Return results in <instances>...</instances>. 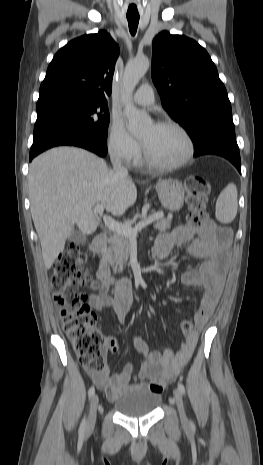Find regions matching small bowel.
Wrapping results in <instances>:
<instances>
[{"mask_svg": "<svg viewBox=\"0 0 263 465\" xmlns=\"http://www.w3.org/2000/svg\"><path fill=\"white\" fill-rule=\"evenodd\" d=\"M229 243L228 231L216 227L200 229L191 224L179 225L157 238L153 254L159 259L166 258L175 246L184 247L189 255L203 259L197 268L188 270L182 276L185 286L204 290L201 302L195 307L197 329L186 334L185 341L176 352L171 349L164 352L149 351L146 342L137 337L134 341L140 361L137 375H134L131 364L125 365L119 373L110 374L108 369L91 372L93 381L106 391L110 401L118 399L123 393L138 385L161 393L166 384L188 363L197 345L200 329L210 319L221 296ZM89 301L97 310L112 309L117 319L125 322L132 304L130 279L124 277L119 280L114 297L98 294L92 295ZM107 346L114 353L119 351L118 341L113 337L107 338Z\"/></svg>", "mask_w": 263, "mask_h": 465, "instance_id": "1", "label": "small bowel"}]
</instances>
